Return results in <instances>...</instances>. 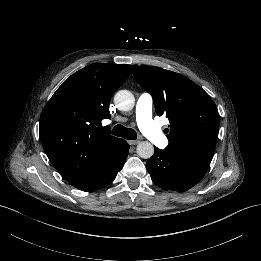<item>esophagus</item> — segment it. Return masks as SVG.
Here are the masks:
<instances>
[{
    "label": "esophagus",
    "instance_id": "34e87169",
    "mask_svg": "<svg viewBox=\"0 0 261 261\" xmlns=\"http://www.w3.org/2000/svg\"><path fill=\"white\" fill-rule=\"evenodd\" d=\"M127 142H128L130 145H136V144L139 143L138 140H128Z\"/></svg>",
    "mask_w": 261,
    "mask_h": 261
}]
</instances>
